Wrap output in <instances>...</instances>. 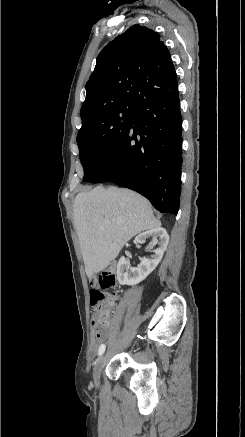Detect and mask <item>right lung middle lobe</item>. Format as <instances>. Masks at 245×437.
<instances>
[{"label": "right lung middle lobe", "mask_w": 245, "mask_h": 437, "mask_svg": "<svg viewBox=\"0 0 245 437\" xmlns=\"http://www.w3.org/2000/svg\"><path fill=\"white\" fill-rule=\"evenodd\" d=\"M133 104L106 107L85 122L77 135L84 180L110 155L131 122Z\"/></svg>", "instance_id": "obj_1"}]
</instances>
